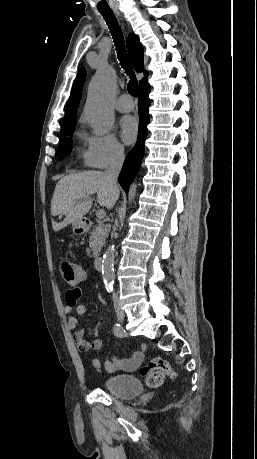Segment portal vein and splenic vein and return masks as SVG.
Here are the masks:
<instances>
[{
  "instance_id": "portal-vein-and-splenic-vein-1",
  "label": "portal vein and splenic vein",
  "mask_w": 257,
  "mask_h": 459,
  "mask_svg": "<svg viewBox=\"0 0 257 459\" xmlns=\"http://www.w3.org/2000/svg\"><path fill=\"white\" fill-rule=\"evenodd\" d=\"M106 216V213L104 210H97L96 211V217L99 219H104Z\"/></svg>"
}]
</instances>
